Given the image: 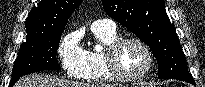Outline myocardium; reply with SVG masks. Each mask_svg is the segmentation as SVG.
<instances>
[{
    "label": "myocardium",
    "mask_w": 205,
    "mask_h": 87,
    "mask_svg": "<svg viewBox=\"0 0 205 87\" xmlns=\"http://www.w3.org/2000/svg\"><path fill=\"white\" fill-rule=\"evenodd\" d=\"M128 43H135L139 45L145 52L147 57V64L144 70L138 75H127L125 74L119 64L118 55L124 45ZM104 60L109 74L116 80L121 82H138L143 80L151 71L154 63V58L150 47L141 39L137 37H125L114 41L112 44L107 46L104 50Z\"/></svg>",
    "instance_id": "f54148a6"
}]
</instances>
